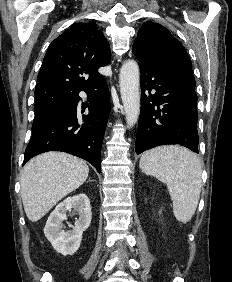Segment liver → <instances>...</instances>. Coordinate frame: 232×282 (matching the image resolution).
Masks as SVG:
<instances>
[{
	"label": "liver",
	"instance_id": "liver-1",
	"mask_svg": "<svg viewBox=\"0 0 232 282\" xmlns=\"http://www.w3.org/2000/svg\"><path fill=\"white\" fill-rule=\"evenodd\" d=\"M89 167L63 152H47L31 159L21 174V197L29 220L41 219L58 201L80 187Z\"/></svg>",
	"mask_w": 232,
	"mask_h": 282
}]
</instances>
